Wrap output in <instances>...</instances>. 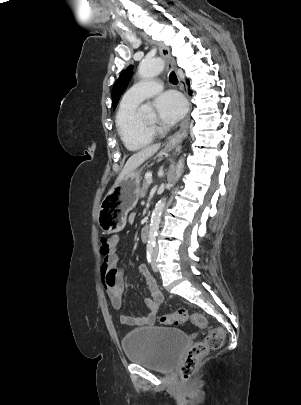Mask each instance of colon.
Listing matches in <instances>:
<instances>
[{"label":"colon","mask_w":301,"mask_h":405,"mask_svg":"<svg viewBox=\"0 0 301 405\" xmlns=\"http://www.w3.org/2000/svg\"><path fill=\"white\" fill-rule=\"evenodd\" d=\"M113 236L111 231H107L102 237L101 253L108 254L111 250L109 238ZM200 329L207 327V320L204 315L194 313L190 317L185 309H179L171 314H165L160 317V322L164 325L184 324L188 319ZM225 334L221 328H212L208 330L203 341L193 344L179 366V373L183 380L187 381L196 371L199 363L204 359L210 350L218 349L224 342Z\"/></svg>","instance_id":"colon-1"}]
</instances>
